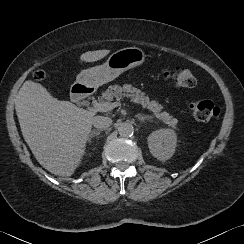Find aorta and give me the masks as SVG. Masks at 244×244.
<instances>
[{
	"label": "aorta",
	"mask_w": 244,
	"mask_h": 244,
	"mask_svg": "<svg viewBox=\"0 0 244 244\" xmlns=\"http://www.w3.org/2000/svg\"><path fill=\"white\" fill-rule=\"evenodd\" d=\"M118 132L123 137H129L134 133V128L129 123H121L118 127Z\"/></svg>",
	"instance_id": "762f6f07"
}]
</instances>
